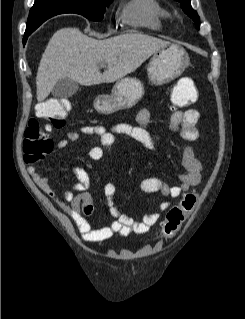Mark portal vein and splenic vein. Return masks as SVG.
I'll use <instances>...</instances> for the list:
<instances>
[{
  "instance_id": "18ae733b",
  "label": "portal vein and splenic vein",
  "mask_w": 245,
  "mask_h": 319,
  "mask_svg": "<svg viewBox=\"0 0 245 319\" xmlns=\"http://www.w3.org/2000/svg\"><path fill=\"white\" fill-rule=\"evenodd\" d=\"M101 67H105V65H104V64H102V65H101Z\"/></svg>"
}]
</instances>
